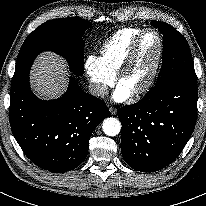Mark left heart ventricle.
<instances>
[{"mask_svg":"<svg viewBox=\"0 0 206 206\" xmlns=\"http://www.w3.org/2000/svg\"><path fill=\"white\" fill-rule=\"evenodd\" d=\"M157 52V37L154 34H147L141 42L134 62L124 75L120 84L131 92L143 85L152 70Z\"/></svg>","mask_w":206,"mask_h":206,"instance_id":"1","label":"left heart ventricle"}]
</instances>
